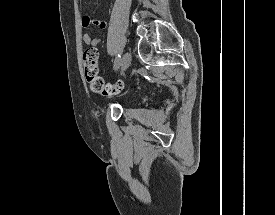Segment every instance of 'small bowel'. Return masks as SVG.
<instances>
[{
	"mask_svg": "<svg viewBox=\"0 0 275 215\" xmlns=\"http://www.w3.org/2000/svg\"><path fill=\"white\" fill-rule=\"evenodd\" d=\"M82 25L84 27H90V26H97L101 29H105L108 25L106 20H97L95 18L92 17H84L82 20ZM104 36L101 38H93L90 34H84L83 35V42L84 44H86L87 46H97L99 43L102 42Z\"/></svg>",
	"mask_w": 275,
	"mask_h": 215,
	"instance_id": "1",
	"label": "small bowel"
}]
</instances>
